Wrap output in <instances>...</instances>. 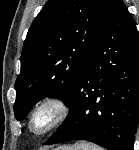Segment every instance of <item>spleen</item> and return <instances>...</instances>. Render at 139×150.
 <instances>
[{
    "mask_svg": "<svg viewBox=\"0 0 139 150\" xmlns=\"http://www.w3.org/2000/svg\"><path fill=\"white\" fill-rule=\"evenodd\" d=\"M75 149L76 150H103L101 147L90 144V143H86V142H82V143H77L75 145Z\"/></svg>",
    "mask_w": 139,
    "mask_h": 150,
    "instance_id": "spleen-1",
    "label": "spleen"
}]
</instances>
